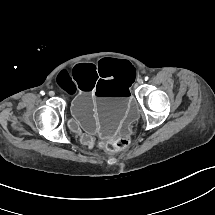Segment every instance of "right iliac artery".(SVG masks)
<instances>
[{
	"mask_svg": "<svg viewBox=\"0 0 215 215\" xmlns=\"http://www.w3.org/2000/svg\"><path fill=\"white\" fill-rule=\"evenodd\" d=\"M40 94L45 95V92H44V91H41Z\"/></svg>",
	"mask_w": 215,
	"mask_h": 215,
	"instance_id": "right-iliac-artery-1",
	"label": "right iliac artery"
}]
</instances>
